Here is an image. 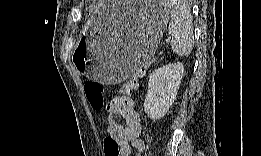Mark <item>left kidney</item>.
Returning a JSON list of instances; mask_svg holds the SVG:
<instances>
[{
  "mask_svg": "<svg viewBox=\"0 0 261 156\" xmlns=\"http://www.w3.org/2000/svg\"><path fill=\"white\" fill-rule=\"evenodd\" d=\"M184 74L183 64L170 63L149 76L144 111L152 120L162 118L172 106Z\"/></svg>",
  "mask_w": 261,
  "mask_h": 156,
  "instance_id": "5707ae66",
  "label": "left kidney"
}]
</instances>
